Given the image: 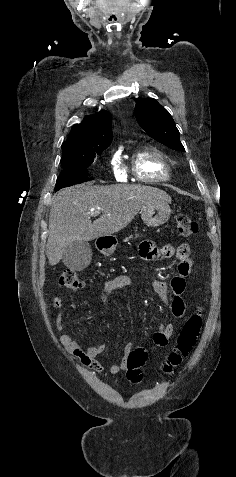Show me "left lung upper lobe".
Here are the masks:
<instances>
[{
    "instance_id": "5c2ea615",
    "label": "left lung upper lobe",
    "mask_w": 236,
    "mask_h": 477,
    "mask_svg": "<svg viewBox=\"0 0 236 477\" xmlns=\"http://www.w3.org/2000/svg\"><path fill=\"white\" fill-rule=\"evenodd\" d=\"M135 115L139 125L150 137L171 149L185 152L173 118L155 99L139 100L135 106Z\"/></svg>"
}]
</instances>
